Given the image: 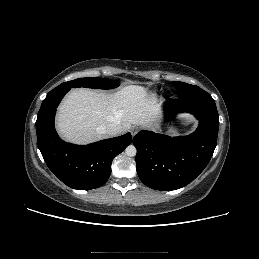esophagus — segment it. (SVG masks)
Returning <instances> with one entry per match:
<instances>
[{
  "instance_id": "34e87169",
  "label": "esophagus",
  "mask_w": 259,
  "mask_h": 259,
  "mask_svg": "<svg viewBox=\"0 0 259 259\" xmlns=\"http://www.w3.org/2000/svg\"><path fill=\"white\" fill-rule=\"evenodd\" d=\"M138 131H139L138 127L133 126V127L131 128V134H132V136H135V135L138 133Z\"/></svg>"
}]
</instances>
